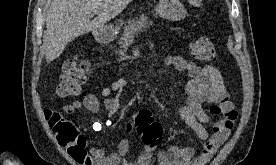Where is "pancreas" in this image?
<instances>
[{"mask_svg":"<svg viewBox=\"0 0 276 165\" xmlns=\"http://www.w3.org/2000/svg\"><path fill=\"white\" fill-rule=\"evenodd\" d=\"M152 24L153 22L148 21V17L143 15L140 16V18L128 21L118 41L120 50L117 51V54L124 56L128 47L133 43L135 35L142 30L149 28Z\"/></svg>","mask_w":276,"mask_h":165,"instance_id":"1","label":"pancreas"}]
</instances>
